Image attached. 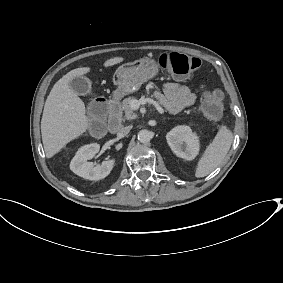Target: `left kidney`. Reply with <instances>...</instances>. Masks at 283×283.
<instances>
[{
    "label": "left kidney",
    "instance_id": "left-kidney-1",
    "mask_svg": "<svg viewBox=\"0 0 283 283\" xmlns=\"http://www.w3.org/2000/svg\"><path fill=\"white\" fill-rule=\"evenodd\" d=\"M166 139L178 157L192 160L198 153V139L187 126H177L167 134Z\"/></svg>",
    "mask_w": 283,
    "mask_h": 283
}]
</instances>
